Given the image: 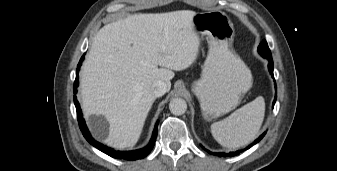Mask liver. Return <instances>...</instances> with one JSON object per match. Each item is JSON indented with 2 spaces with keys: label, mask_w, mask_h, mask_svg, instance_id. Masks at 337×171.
Masks as SVG:
<instances>
[{
  "label": "liver",
  "mask_w": 337,
  "mask_h": 171,
  "mask_svg": "<svg viewBox=\"0 0 337 171\" xmlns=\"http://www.w3.org/2000/svg\"><path fill=\"white\" fill-rule=\"evenodd\" d=\"M195 15L191 10L134 14L97 32L80 82L85 117L103 115L109 123L105 144L133 147L156 99L152 84L161 80L169 91L173 71L194 63L200 46Z\"/></svg>",
  "instance_id": "obj_1"
}]
</instances>
